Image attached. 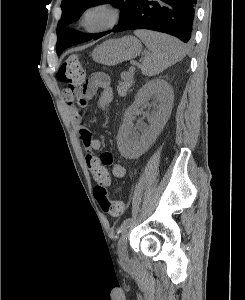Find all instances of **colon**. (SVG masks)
I'll return each instance as SVG.
<instances>
[{
	"mask_svg": "<svg viewBox=\"0 0 245 300\" xmlns=\"http://www.w3.org/2000/svg\"><path fill=\"white\" fill-rule=\"evenodd\" d=\"M57 78L66 85L64 97L72 101L79 93L85 80V71L79 61L78 56L71 55L68 57L57 71ZM94 195L102 210L112 216H119L124 211L122 201H111L107 197V189H94Z\"/></svg>",
	"mask_w": 245,
	"mask_h": 300,
	"instance_id": "colon-1",
	"label": "colon"
}]
</instances>
